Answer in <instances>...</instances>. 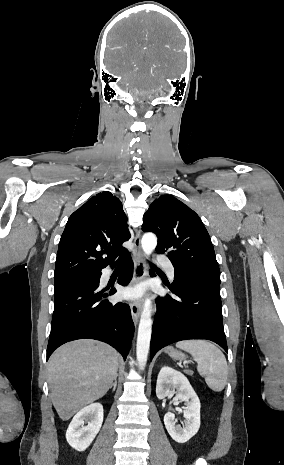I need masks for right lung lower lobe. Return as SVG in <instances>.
Returning a JSON list of instances; mask_svg holds the SVG:
<instances>
[{"mask_svg":"<svg viewBox=\"0 0 284 465\" xmlns=\"http://www.w3.org/2000/svg\"><path fill=\"white\" fill-rule=\"evenodd\" d=\"M120 259L126 261V268L118 283L126 286L133 275V263L129 252ZM100 277L101 273L55 290L47 359L62 344L83 338L108 343L126 358L134 334L130 307L123 302L110 303L106 297L116 289H101Z\"/></svg>","mask_w":284,"mask_h":465,"instance_id":"right-lung-lower-lobe-1","label":"right lung lower lobe"}]
</instances>
